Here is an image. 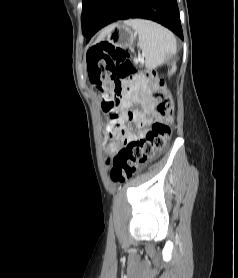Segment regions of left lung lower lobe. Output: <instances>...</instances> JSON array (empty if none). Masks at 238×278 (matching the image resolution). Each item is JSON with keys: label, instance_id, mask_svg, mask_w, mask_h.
Wrapping results in <instances>:
<instances>
[{"label": "left lung lower lobe", "instance_id": "obj_1", "mask_svg": "<svg viewBox=\"0 0 238 278\" xmlns=\"http://www.w3.org/2000/svg\"><path fill=\"white\" fill-rule=\"evenodd\" d=\"M128 18L153 20L183 39L176 0H106L86 36L90 40L102 27Z\"/></svg>", "mask_w": 238, "mask_h": 278}]
</instances>
